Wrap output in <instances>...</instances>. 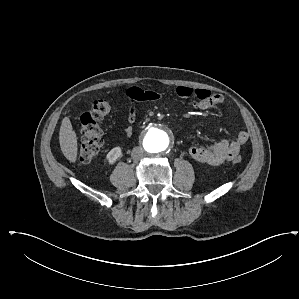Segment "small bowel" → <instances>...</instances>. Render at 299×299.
<instances>
[{"label":"small bowel","mask_w":299,"mask_h":299,"mask_svg":"<svg viewBox=\"0 0 299 299\" xmlns=\"http://www.w3.org/2000/svg\"><path fill=\"white\" fill-rule=\"evenodd\" d=\"M176 94L182 99H189L195 110H207L218 105H222L225 101L220 94H212L206 89L191 88L187 86H178ZM129 98V115L128 122L132 124L136 118L135 102L138 101H157L162 98V94L154 89H141L139 87H131L127 90ZM133 129L128 125L124 129L126 137L132 135ZM249 140V134L246 131H240L234 139H223L212 145L202 147L193 146L189 149L190 157L200 163L211 166L219 165L225 161L232 160L238 155L241 147Z\"/></svg>","instance_id":"c3829d8e"}]
</instances>
